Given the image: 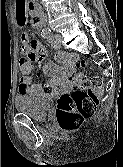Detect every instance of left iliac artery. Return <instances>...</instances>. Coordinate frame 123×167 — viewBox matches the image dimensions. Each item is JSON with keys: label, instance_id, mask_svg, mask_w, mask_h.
I'll use <instances>...</instances> for the list:
<instances>
[{"label": "left iliac artery", "instance_id": "left-iliac-artery-1", "mask_svg": "<svg viewBox=\"0 0 123 167\" xmlns=\"http://www.w3.org/2000/svg\"><path fill=\"white\" fill-rule=\"evenodd\" d=\"M50 44L53 48H55V41H54V37L53 34L51 32V30L49 29L48 33L45 35H42Z\"/></svg>", "mask_w": 123, "mask_h": 167}]
</instances>
